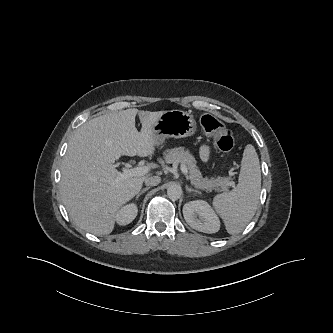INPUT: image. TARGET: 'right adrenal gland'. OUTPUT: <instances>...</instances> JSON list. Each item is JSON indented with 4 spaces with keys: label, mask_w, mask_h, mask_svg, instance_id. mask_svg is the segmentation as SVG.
Returning a JSON list of instances; mask_svg holds the SVG:
<instances>
[{
    "label": "right adrenal gland",
    "mask_w": 333,
    "mask_h": 333,
    "mask_svg": "<svg viewBox=\"0 0 333 333\" xmlns=\"http://www.w3.org/2000/svg\"><path fill=\"white\" fill-rule=\"evenodd\" d=\"M149 189H150V187H146V188L142 189L140 192H138L137 195H136V200H138V198L140 197V195L144 194Z\"/></svg>",
    "instance_id": "2a0ac1e0"
}]
</instances>
